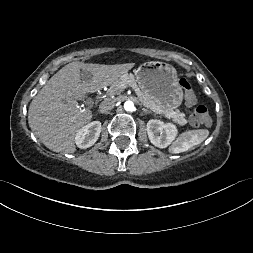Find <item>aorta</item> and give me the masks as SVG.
Wrapping results in <instances>:
<instances>
[{
    "instance_id": "762f6f07",
    "label": "aorta",
    "mask_w": 253,
    "mask_h": 253,
    "mask_svg": "<svg viewBox=\"0 0 253 253\" xmlns=\"http://www.w3.org/2000/svg\"><path fill=\"white\" fill-rule=\"evenodd\" d=\"M133 108H134V104H133L132 101L128 100V101H126V102L124 103V109H125L126 111H132Z\"/></svg>"
}]
</instances>
